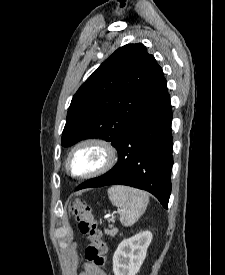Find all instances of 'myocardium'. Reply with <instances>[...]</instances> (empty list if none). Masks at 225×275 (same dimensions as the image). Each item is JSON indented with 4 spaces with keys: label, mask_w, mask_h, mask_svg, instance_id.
Masks as SVG:
<instances>
[{
    "label": "myocardium",
    "mask_w": 225,
    "mask_h": 275,
    "mask_svg": "<svg viewBox=\"0 0 225 275\" xmlns=\"http://www.w3.org/2000/svg\"><path fill=\"white\" fill-rule=\"evenodd\" d=\"M83 148L97 149L102 155V160L96 168L81 174H77L72 171L70 163L74 154ZM116 161L117 151L111 143L101 139L88 138L78 142L71 148L65 161V169L67 173L72 177L82 179L92 178L108 172L116 164Z\"/></svg>",
    "instance_id": "f54148a6"
}]
</instances>
